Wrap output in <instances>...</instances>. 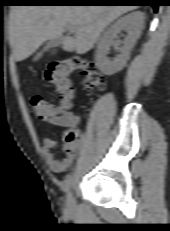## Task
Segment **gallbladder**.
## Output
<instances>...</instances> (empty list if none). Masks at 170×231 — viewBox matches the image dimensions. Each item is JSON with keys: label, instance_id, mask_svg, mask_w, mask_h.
<instances>
[{"label": "gallbladder", "instance_id": "1", "mask_svg": "<svg viewBox=\"0 0 170 231\" xmlns=\"http://www.w3.org/2000/svg\"><path fill=\"white\" fill-rule=\"evenodd\" d=\"M58 42H59V39H52L49 42H47L46 45L44 46V48L42 49V51H40L39 53L36 54L33 61H38L46 51H48L50 48L54 47Z\"/></svg>", "mask_w": 170, "mask_h": 231}]
</instances>
